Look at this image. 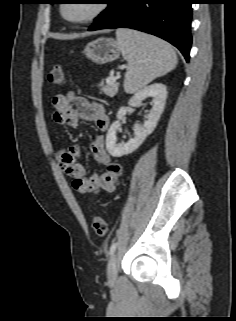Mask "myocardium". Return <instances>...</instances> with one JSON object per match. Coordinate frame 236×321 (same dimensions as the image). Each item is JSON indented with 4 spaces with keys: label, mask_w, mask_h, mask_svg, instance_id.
Here are the masks:
<instances>
[{
    "label": "myocardium",
    "mask_w": 236,
    "mask_h": 321,
    "mask_svg": "<svg viewBox=\"0 0 236 321\" xmlns=\"http://www.w3.org/2000/svg\"><path fill=\"white\" fill-rule=\"evenodd\" d=\"M68 4H69L68 2H64L60 4L59 14L65 22L69 24H74V25H82V24H88V23L94 22L98 18H100L108 8V5L107 3H105V1L97 0V1H94V7L88 15L73 19V18L67 17L65 14V9Z\"/></svg>",
    "instance_id": "obj_1"
}]
</instances>
